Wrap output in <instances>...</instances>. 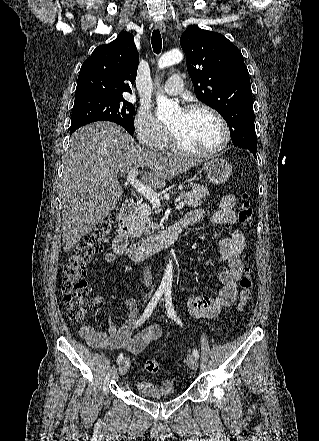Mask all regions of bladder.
Returning <instances> with one entry per match:
<instances>
[{
  "mask_svg": "<svg viewBox=\"0 0 319 441\" xmlns=\"http://www.w3.org/2000/svg\"><path fill=\"white\" fill-rule=\"evenodd\" d=\"M136 388L140 396L152 399L173 397L177 393L176 384L172 380L155 383L148 379H139Z\"/></svg>",
  "mask_w": 319,
  "mask_h": 441,
  "instance_id": "31cf9c89",
  "label": "bladder"
}]
</instances>
